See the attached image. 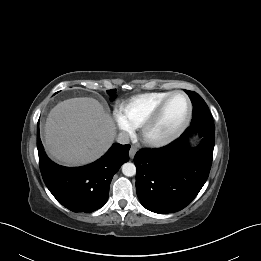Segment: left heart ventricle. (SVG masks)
<instances>
[{
    "instance_id": "b2bd125f",
    "label": "left heart ventricle",
    "mask_w": 261,
    "mask_h": 261,
    "mask_svg": "<svg viewBox=\"0 0 261 261\" xmlns=\"http://www.w3.org/2000/svg\"><path fill=\"white\" fill-rule=\"evenodd\" d=\"M187 110V102L183 96L176 95L172 97L152 134L154 136H165L175 131L184 122Z\"/></svg>"
}]
</instances>
